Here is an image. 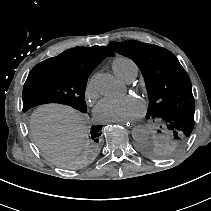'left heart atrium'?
<instances>
[{"instance_id": "obj_1", "label": "left heart atrium", "mask_w": 211, "mask_h": 211, "mask_svg": "<svg viewBox=\"0 0 211 211\" xmlns=\"http://www.w3.org/2000/svg\"><path fill=\"white\" fill-rule=\"evenodd\" d=\"M144 112L143 101L134 95L105 97L94 108V116L100 122L135 119L143 116Z\"/></svg>"}]
</instances>
